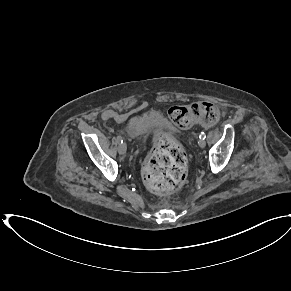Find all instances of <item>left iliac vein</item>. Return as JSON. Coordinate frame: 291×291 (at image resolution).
<instances>
[{
  "mask_svg": "<svg viewBox=\"0 0 291 291\" xmlns=\"http://www.w3.org/2000/svg\"><path fill=\"white\" fill-rule=\"evenodd\" d=\"M198 145L200 148H204L206 146V142L204 139H200L198 142Z\"/></svg>",
  "mask_w": 291,
  "mask_h": 291,
  "instance_id": "4c4485c4",
  "label": "left iliac vein"
}]
</instances>
